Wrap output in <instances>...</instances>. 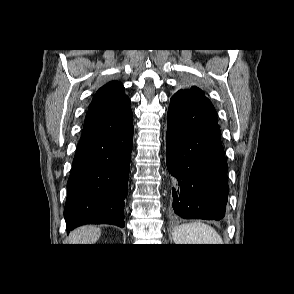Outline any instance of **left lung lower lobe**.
<instances>
[{
	"label": "left lung lower lobe",
	"mask_w": 294,
	"mask_h": 294,
	"mask_svg": "<svg viewBox=\"0 0 294 294\" xmlns=\"http://www.w3.org/2000/svg\"><path fill=\"white\" fill-rule=\"evenodd\" d=\"M167 118L166 162L174 212L185 219H222L228 167L212 103L204 97L175 94Z\"/></svg>",
	"instance_id": "obj_1"
}]
</instances>
